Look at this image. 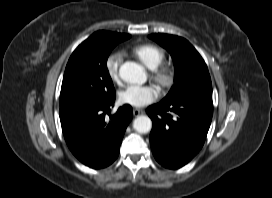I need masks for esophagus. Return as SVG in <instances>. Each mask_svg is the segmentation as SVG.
Segmentation results:
<instances>
[{
  "mask_svg": "<svg viewBox=\"0 0 272 198\" xmlns=\"http://www.w3.org/2000/svg\"><path fill=\"white\" fill-rule=\"evenodd\" d=\"M142 113H143V111L140 110V109H137V108L133 109V115H134L135 117L141 115Z\"/></svg>",
  "mask_w": 272,
  "mask_h": 198,
  "instance_id": "34e87169",
  "label": "esophagus"
}]
</instances>
